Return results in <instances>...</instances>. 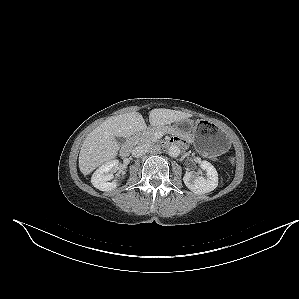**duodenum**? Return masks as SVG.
I'll return each instance as SVG.
<instances>
[{"mask_svg":"<svg viewBox=\"0 0 299 299\" xmlns=\"http://www.w3.org/2000/svg\"><path fill=\"white\" fill-rule=\"evenodd\" d=\"M181 140L177 137H173L170 140H168L165 144L166 145H171V144H176V143H180ZM134 144V140L133 139H129L125 144H123V146L120 149V156L121 157H127L133 147Z\"/></svg>","mask_w":299,"mask_h":299,"instance_id":"410a0bca","label":"duodenum"}]
</instances>
